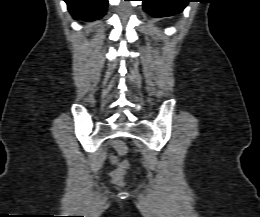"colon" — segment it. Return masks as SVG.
I'll return each instance as SVG.
<instances>
[{
  "instance_id": "colon-1",
  "label": "colon",
  "mask_w": 260,
  "mask_h": 217,
  "mask_svg": "<svg viewBox=\"0 0 260 217\" xmlns=\"http://www.w3.org/2000/svg\"><path fill=\"white\" fill-rule=\"evenodd\" d=\"M113 146L120 155H124L127 152V146L121 140H115L113 142ZM127 170H128V162L121 161L111 173L112 181L118 185L123 184L124 177H125Z\"/></svg>"
}]
</instances>
